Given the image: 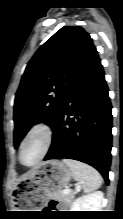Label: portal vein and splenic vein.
<instances>
[{
	"mask_svg": "<svg viewBox=\"0 0 123 219\" xmlns=\"http://www.w3.org/2000/svg\"><path fill=\"white\" fill-rule=\"evenodd\" d=\"M78 188H79V186H78ZM70 192H71L70 189H64V190H63V193H64V194H69Z\"/></svg>",
	"mask_w": 123,
	"mask_h": 219,
	"instance_id": "portal-vein-and-splenic-vein-1",
	"label": "portal vein and splenic vein"
}]
</instances>
